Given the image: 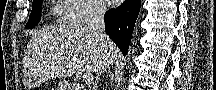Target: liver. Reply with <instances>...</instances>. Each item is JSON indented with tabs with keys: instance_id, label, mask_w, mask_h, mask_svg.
<instances>
[{
	"instance_id": "obj_1",
	"label": "liver",
	"mask_w": 216,
	"mask_h": 90,
	"mask_svg": "<svg viewBox=\"0 0 216 90\" xmlns=\"http://www.w3.org/2000/svg\"><path fill=\"white\" fill-rule=\"evenodd\" d=\"M110 42L112 62L119 50ZM27 56L36 58L42 74L48 78H69L79 72H97L104 64L99 36L88 32L81 22H69L61 28H45L31 40ZM31 60V58H28Z\"/></svg>"
}]
</instances>
